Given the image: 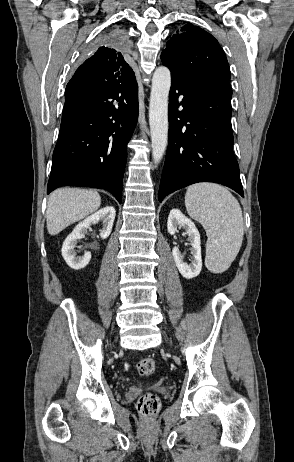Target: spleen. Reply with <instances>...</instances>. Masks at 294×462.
<instances>
[{
  "instance_id": "spleen-1",
  "label": "spleen",
  "mask_w": 294,
  "mask_h": 462,
  "mask_svg": "<svg viewBox=\"0 0 294 462\" xmlns=\"http://www.w3.org/2000/svg\"><path fill=\"white\" fill-rule=\"evenodd\" d=\"M185 206L206 231V267L213 273L224 272L236 258L243 240L239 202L223 186L197 183L187 188Z\"/></svg>"
}]
</instances>
